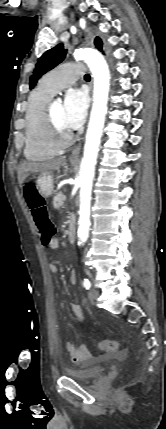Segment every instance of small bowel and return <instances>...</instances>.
Wrapping results in <instances>:
<instances>
[{"instance_id":"obj_1","label":"small bowel","mask_w":166,"mask_h":429,"mask_svg":"<svg viewBox=\"0 0 166 429\" xmlns=\"http://www.w3.org/2000/svg\"><path fill=\"white\" fill-rule=\"evenodd\" d=\"M48 246L52 250H57L59 248V241L57 239H52L51 242L48 244ZM49 269L52 273H55V274L59 272L57 265L54 263H51L49 265ZM69 279L73 284L76 282V273L74 271H72L69 274ZM71 308L74 314L76 315V317L80 320V322L84 323L85 317L81 307L78 304L72 302ZM65 347L72 362L78 365L88 366L92 363L100 361V358L93 357L91 355V353L89 352L88 348L85 345L77 346L72 342H66Z\"/></svg>"}]
</instances>
